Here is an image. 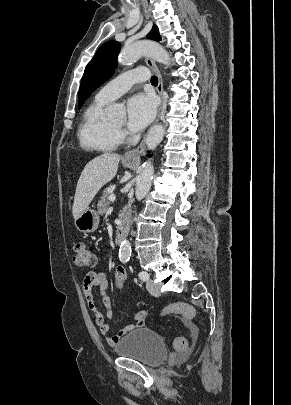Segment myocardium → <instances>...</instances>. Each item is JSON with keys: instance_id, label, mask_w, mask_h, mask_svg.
<instances>
[{"instance_id": "obj_1", "label": "myocardium", "mask_w": 291, "mask_h": 405, "mask_svg": "<svg viewBox=\"0 0 291 405\" xmlns=\"http://www.w3.org/2000/svg\"><path fill=\"white\" fill-rule=\"evenodd\" d=\"M113 127H114V129L117 131V133L121 131V127H116V126H114V125H113Z\"/></svg>"}]
</instances>
